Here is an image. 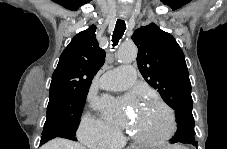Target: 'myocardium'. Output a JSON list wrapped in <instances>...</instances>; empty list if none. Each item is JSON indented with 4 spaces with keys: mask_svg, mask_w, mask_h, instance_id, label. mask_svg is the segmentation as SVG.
Masks as SVG:
<instances>
[{
    "mask_svg": "<svg viewBox=\"0 0 227 149\" xmlns=\"http://www.w3.org/2000/svg\"><path fill=\"white\" fill-rule=\"evenodd\" d=\"M147 102H151L156 105H159L166 111L168 116V121H169L167 131L164 134L156 137H142L134 134L133 132H130L129 135L132 138V140L139 145H145V146L162 145L166 143L176 132L177 125H176V117H175L174 110L165 101H163L160 98H148Z\"/></svg>",
    "mask_w": 227,
    "mask_h": 149,
    "instance_id": "1",
    "label": "myocardium"
}]
</instances>
